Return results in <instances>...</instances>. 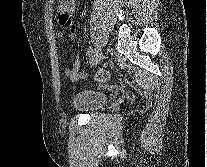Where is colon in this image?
<instances>
[{"label": "colon", "instance_id": "1", "mask_svg": "<svg viewBox=\"0 0 207 167\" xmlns=\"http://www.w3.org/2000/svg\"><path fill=\"white\" fill-rule=\"evenodd\" d=\"M110 77H111V72L106 69H100L99 71H97L95 75V79L100 83H104L108 81Z\"/></svg>", "mask_w": 207, "mask_h": 167}]
</instances>
